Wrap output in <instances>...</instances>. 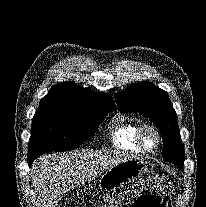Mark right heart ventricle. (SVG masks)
I'll return each instance as SVG.
<instances>
[{"instance_id": "right-heart-ventricle-1", "label": "right heart ventricle", "mask_w": 206, "mask_h": 207, "mask_svg": "<svg viewBox=\"0 0 206 207\" xmlns=\"http://www.w3.org/2000/svg\"><path fill=\"white\" fill-rule=\"evenodd\" d=\"M140 124L134 120L120 118L114 121L111 142L114 147L124 151L144 152L137 143V130Z\"/></svg>"}]
</instances>
